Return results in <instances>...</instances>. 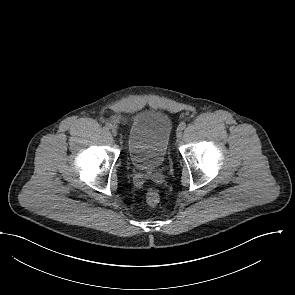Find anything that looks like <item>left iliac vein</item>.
<instances>
[{
    "mask_svg": "<svg viewBox=\"0 0 295 295\" xmlns=\"http://www.w3.org/2000/svg\"><path fill=\"white\" fill-rule=\"evenodd\" d=\"M176 136H177V139L178 140L181 139V137H182V130L180 128H178Z\"/></svg>",
    "mask_w": 295,
    "mask_h": 295,
    "instance_id": "left-iliac-vein-1",
    "label": "left iliac vein"
}]
</instances>
